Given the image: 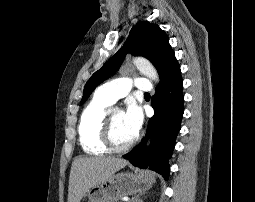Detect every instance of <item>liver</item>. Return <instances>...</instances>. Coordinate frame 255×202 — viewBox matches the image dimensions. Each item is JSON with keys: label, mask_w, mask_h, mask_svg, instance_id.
Returning <instances> with one entry per match:
<instances>
[{"label": "liver", "mask_w": 255, "mask_h": 202, "mask_svg": "<svg viewBox=\"0 0 255 202\" xmlns=\"http://www.w3.org/2000/svg\"><path fill=\"white\" fill-rule=\"evenodd\" d=\"M127 161L116 157L77 158L73 161L68 186V202H80L93 186L103 183Z\"/></svg>", "instance_id": "1"}]
</instances>
